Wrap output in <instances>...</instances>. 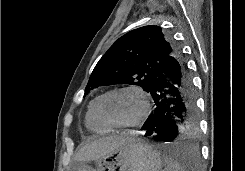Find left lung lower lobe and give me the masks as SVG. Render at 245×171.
Returning a JSON list of instances; mask_svg holds the SVG:
<instances>
[{
  "label": "left lung lower lobe",
  "mask_w": 245,
  "mask_h": 171,
  "mask_svg": "<svg viewBox=\"0 0 245 171\" xmlns=\"http://www.w3.org/2000/svg\"><path fill=\"white\" fill-rule=\"evenodd\" d=\"M155 107L142 126L145 136L156 135L159 141L175 142L192 131L196 125V98L192 76L187 64L177 49L170 55L162 73L149 90ZM184 162L182 167H195L199 161L195 149L178 152Z\"/></svg>",
  "instance_id": "1"
}]
</instances>
